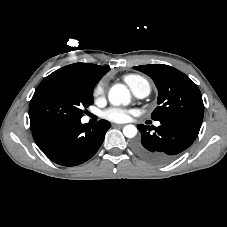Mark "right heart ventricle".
Listing matches in <instances>:
<instances>
[{
  "instance_id": "obj_1",
  "label": "right heart ventricle",
  "mask_w": 227,
  "mask_h": 227,
  "mask_svg": "<svg viewBox=\"0 0 227 227\" xmlns=\"http://www.w3.org/2000/svg\"><path fill=\"white\" fill-rule=\"evenodd\" d=\"M125 83L130 87L132 91L136 90L141 86H146L150 91V86L148 81L140 75L128 74L124 76Z\"/></svg>"
}]
</instances>
